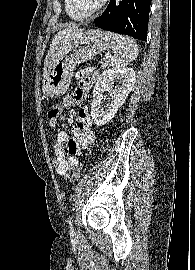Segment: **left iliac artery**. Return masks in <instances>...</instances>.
Here are the masks:
<instances>
[{"label":"left iliac artery","mask_w":195,"mask_h":270,"mask_svg":"<svg viewBox=\"0 0 195 270\" xmlns=\"http://www.w3.org/2000/svg\"><path fill=\"white\" fill-rule=\"evenodd\" d=\"M69 225L71 230L73 229V220H72V216L69 218Z\"/></svg>","instance_id":"44dca946"}]
</instances>
